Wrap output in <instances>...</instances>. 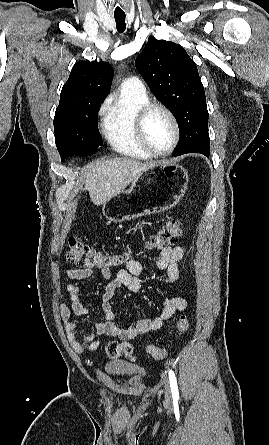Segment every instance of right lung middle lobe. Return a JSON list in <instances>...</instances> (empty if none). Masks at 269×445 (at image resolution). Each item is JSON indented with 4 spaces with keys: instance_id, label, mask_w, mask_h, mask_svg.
I'll use <instances>...</instances> for the list:
<instances>
[{
    "instance_id": "obj_1",
    "label": "right lung middle lobe",
    "mask_w": 269,
    "mask_h": 445,
    "mask_svg": "<svg viewBox=\"0 0 269 445\" xmlns=\"http://www.w3.org/2000/svg\"><path fill=\"white\" fill-rule=\"evenodd\" d=\"M102 101L59 105L54 117L55 142L61 160L96 153L103 145L96 122Z\"/></svg>"
}]
</instances>
